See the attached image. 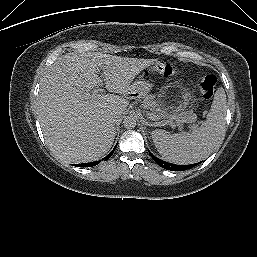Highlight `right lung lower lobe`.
<instances>
[{
	"mask_svg": "<svg viewBox=\"0 0 257 257\" xmlns=\"http://www.w3.org/2000/svg\"><path fill=\"white\" fill-rule=\"evenodd\" d=\"M115 148H116V146L114 147V149L112 150V152L111 153H109L106 157H104L102 160H108L110 157H111V155L113 154V152L115 151ZM99 162L100 161H95V162H91V163H84V164H75V166H77V167H92V166H95V165H97V164H99Z\"/></svg>",
	"mask_w": 257,
	"mask_h": 257,
	"instance_id": "right-lung-lower-lobe-1",
	"label": "right lung lower lobe"
}]
</instances>
